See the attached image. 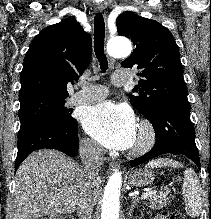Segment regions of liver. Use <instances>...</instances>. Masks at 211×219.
<instances>
[{"label":"liver","instance_id":"liver-1","mask_svg":"<svg viewBox=\"0 0 211 219\" xmlns=\"http://www.w3.org/2000/svg\"><path fill=\"white\" fill-rule=\"evenodd\" d=\"M15 182L12 219L71 214L85 185L81 166L56 150L31 153L19 166ZM101 182L93 192L95 203Z\"/></svg>","mask_w":211,"mask_h":219}]
</instances>
